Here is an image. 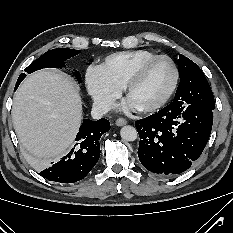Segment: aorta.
I'll return each mask as SVG.
<instances>
[{"mask_svg": "<svg viewBox=\"0 0 233 233\" xmlns=\"http://www.w3.org/2000/svg\"><path fill=\"white\" fill-rule=\"evenodd\" d=\"M120 135L125 141H134L138 137V132L133 126L127 125L121 128Z\"/></svg>", "mask_w": 233, "mask_h": 233, "instance_id": "obj_1", "label": "aorta"}]
</instances>
